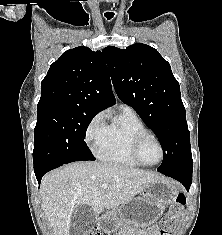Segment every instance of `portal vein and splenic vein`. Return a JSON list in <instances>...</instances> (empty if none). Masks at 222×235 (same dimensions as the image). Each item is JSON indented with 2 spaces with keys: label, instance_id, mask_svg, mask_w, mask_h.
Returning a JSON list of instances; mask_svg holds the SVG:
<instances>
[{
  "label": "portal vein and splenic vein",
  "instance_id": "portal-vein-and-splenic-vein-1",
  "mask_svg": "<svg viewBox=\"0 0 222 235\" xmlns=\"http://www.w3.org/2000/svg\"><path fill=\"white\" fill-rule=\"evenodd\" d=\"M101 187L105 189V188L108 187V184L104 183V184L101 185Z\"/></svg>",
  "mask_w": 222,
  "mask_h": 235
}]
</instances>
